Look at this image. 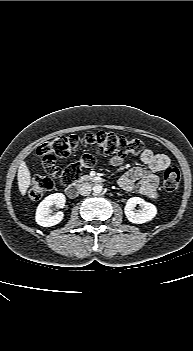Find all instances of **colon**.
<instances>
[{
	"label": "colon",
	"mask_w": 193,
	"mask_h": 351,
	"mask_svg": "<svg viewBox=\"0 0 193 351\" xmlns=\"http://www.w3.org/2000/svg\"><path fill=\"white\" fill-rule=\"evenodd\" d=\"M144 145L136 138H126L110 132L87 133L84 135L59 136L40 144L37 154L44 162V168L49 176L36 177L29 188V197L41 199L54 187L53 177H58L61 184L69 185L81 175L82 168L92 167L97 162V155H138ZM79 149H84L82 158L69 164L63 170L55 165L57 157H67ZM181 181V172L176 165H170L164 170L163 186L169 192H175Z\"/></svg>",
	"instance_id": "1"
}]
</instances>
